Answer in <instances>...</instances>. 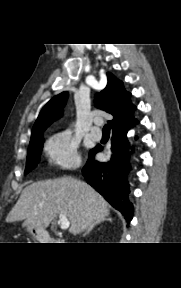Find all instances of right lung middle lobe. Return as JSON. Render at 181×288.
Returning <instances> with one entry per match:
<instances>
[{"mask_svg": "<svg viewBox=\"0 0 181 288\" xmlns=\"http://www.w3.org/2000/svg\"><path fill=\"white\" fill-rule=\"evenodd\" d=\"M42 148H43V138L42 134H40L36 139L30 141L27 154L25 174L29 173L39 163Z\"/></svg>", "mask_w": 181, "mask_h": 288, "instance_id": "right-lung-middle-lobe-1", "label": "right lung middle lobe"}]
</instances>
